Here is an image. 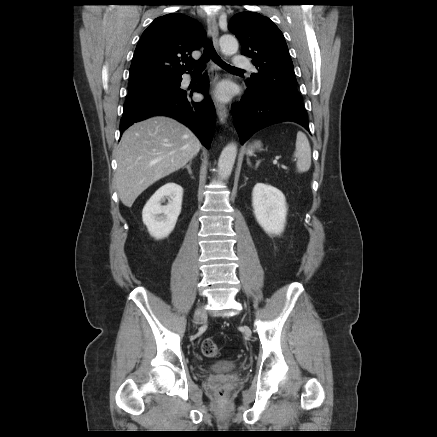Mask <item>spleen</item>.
Returning a JSON list of instances; mask_svg holds the SVG:
<instances>
[{
	"label": "spleen",
	"mask_w": 437,
	"mask_h": 437,
	"mask_svg": "<svg viewBox=\"0 0 437 437\" xmlns=\"http://www.w3.org/2000/svg\"><path fill=\"white\" fill-rule=\"evenodd\" d=\"M294 157L297 159V172H307L311 166V147L307 136L301 131L297 133Z\"/></svg>",
	"instance_id": "spleen-1"
}]
</instances>
